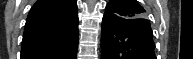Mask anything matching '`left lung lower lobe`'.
Here are the masks:
<instances>
[{"mask_svg":"<svg viewBox=\"0 0 193 59\" xmlns=\"http://www.w3.org/2000/svg\"><path fill=\"white\" fill-rule=\"evenodd\" d=\"M152 36L148 20L136 22L105 12L101 59H156Z\"/></svg>","mask_w":193,"mask_h":59,"instance_id":"0a47b994","label":"left lung lower lobe"}]
</instances>
